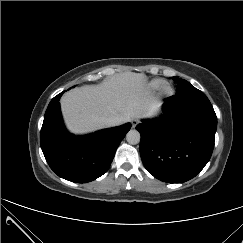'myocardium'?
<instances>
[{"label":"myocardium","mask_w":243,"mask_h":243,"mask_svg":"<svg viewBox=\"0 0 243 243\" xmlns=\"http://www.w3.org/2000/svg\"><path fill=\"white\" fill-rule=\"evenodd\" d=\"M160 93L163 97L165 98H169L171 96H173L174 94V88L170 83H164L161 87H160Z\"/></svg>","instance_id":"myocardium-1"}]
</instances>
